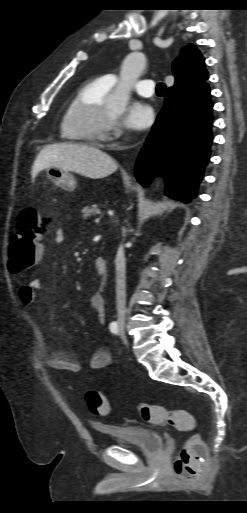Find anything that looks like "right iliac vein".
<instances>
[{"mask_svg": "<svg viewBox=\"0 0 247 513\" xmlns=\"http://www.w3.org/2000/svg\"><path fill=\"white\" fill-rule=\"evenodd\" d=\"M120 330H121V334L125 337V324H124V322H120Z\"/></svg>", "mask_w": 247, "mask_h": 513, "instance_id": "obj_1", "label": "right iliac vein"}]
</instances>
